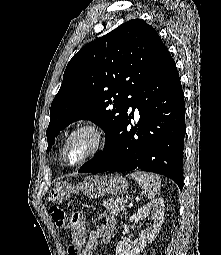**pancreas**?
<instances>
[{
	"mask_svg": "<svg viewBox=\"0 0 221 255\" xmlns=\"http://www.w3.org/2000/svg\"><path fill=\"white\" fill-rule=\"evenodd\" d=\"M106 210L113 215L119 214L121 210L125 208L124 200L122 198L107 199L103 202Z\"/></svg>",
	"mask_w": 221,
	"mask_h": 255,
	"instance_id": "obj_1",
	"label": "pancreas"
}]
</instances>
